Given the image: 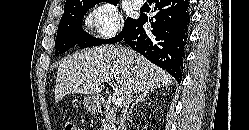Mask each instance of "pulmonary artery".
<instances>
[{"label": "pulmonary artery", "mask_w": 249, "mask_h": 130, "mask_svg": "<svg viewBox=\"0 0 249 130\" xmlns=\"http://www.w3.org/2000/svg\"><path fill=\"white\" fill-rule=\"evenodd\" d=\"M132 3L135 8H141L144 3V0H132Z\"/></svg>", "instance_id": "e3ab8cb5"}]
</instances>
